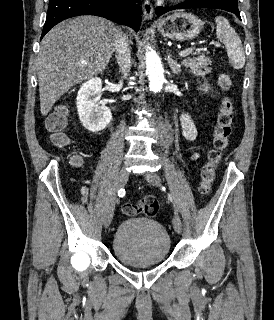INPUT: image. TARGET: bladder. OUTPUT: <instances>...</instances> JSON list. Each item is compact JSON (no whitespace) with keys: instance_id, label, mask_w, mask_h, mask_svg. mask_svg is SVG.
<instances>
[{"instance_id":"1","label":"bladder","mask_w":274,"mask_h":320,"mask_svg":"<svg viewBox=\"0 0 274 320\" xmlns=\"http://www.w3.org/2000/svg\"><path fill=\"white\" fill-rule=\"evenodd\" d=\"M170 249L171 240L165 227L147 217L122 221L113 235V254L127 266L160 264L167 259Z\"/></svg>"}]
</instances>
